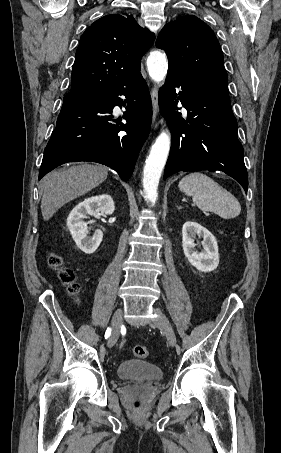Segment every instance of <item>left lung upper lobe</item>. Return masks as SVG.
Returning <instances> with one entry per match:
<instances>
[{
	"label": "left lung upper lobe",
	"mask_w": 281,
	"mask_h": 453,
	"mask_svg": "<svg viewBox=\"0 0 281 453\" xmlns=\"http://www.w3.org/2000/svg\"><path fill=\"white\" fill-rule=\"evenodd\" d=\"M156 47L166 52L168 71L181 78L227 85L219 42L212 29L196 16H180L166 24L158 35Z\"/></svg>",
	"instance_id": "left-lung-upper-lobe-1"
}]
</instances>
